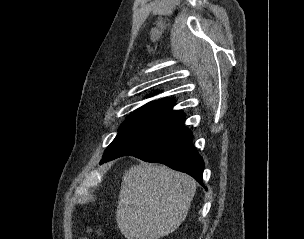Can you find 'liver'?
<instances>
[{
	"mask_svg": "<svg viewBox=\"0 0 304 239\" xmlns=\"http://www.w3.org/2000/svg\"><path fill=\"white\" fill-rule=\"evenodd\" d=\"M196 181L164 165L148 163L125 171L116 222L127 239H159L185 220Z\"/></svg>",
	"mask_w": 304,
	"mask_h": 239,
	"instance_id": "liver-1",
	"label": "liver"
}]
</instances>
